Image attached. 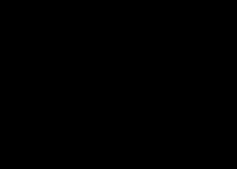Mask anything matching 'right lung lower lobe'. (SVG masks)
<instances>
[{
	"instance_id": "right-lung-lower-lobe-1",
	"label": "right lung lower lobe",
	"mask_w": 237,
	"mask_h": 169,
	"mask_svg": "<svg viewBox=\"0 0 237 169\" xmlns=\"http://www.w3.org/2000/svg\"><path fill=\"white\" fill-rule=\"evenodd\" d=\"M114 104L112 97L92 92L86 103L56 129L71 144L92 142L104 130Z\"/></svg>"
}]
</instances>
